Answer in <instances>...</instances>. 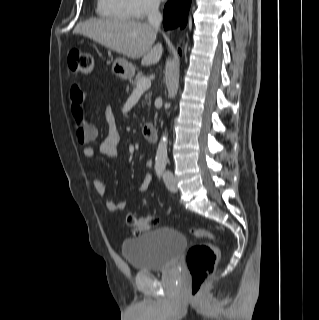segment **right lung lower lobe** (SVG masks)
<instances>
[{"label": "right lung lower lobe", "instance_id": "1", "mask_svg": "<svg viewBox=\"0 0 319 320\" xmlns=\"http://www.w3.org/2000/svg\"><path fill=\"white\" fill-rule=\"evenodd\" d=\"M191 0H169L164 8V28L185 27Z\"/></svg>", "mask_w": 319, "mask_h": 320}]
</instances>
